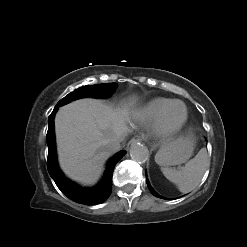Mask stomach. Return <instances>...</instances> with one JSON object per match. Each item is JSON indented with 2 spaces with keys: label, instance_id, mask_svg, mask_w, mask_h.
<instances>
[{
  "label": "stomach",
  "instance_id": "obj_1",
  "mask_svg": "<svg viewBox=\"0 0 247 247\" xmlns=\"http://www.w3.org/2000/svg\"><path fill=\"white\" fill-rule=\"evenodd\" d=\"M195 138L192 134L167 143L159 150L158 164L174 166L185 163L192 155Z\"/></svg>",
  "mask_w": 247,
  "mask_h": 247
}]
</instances>
